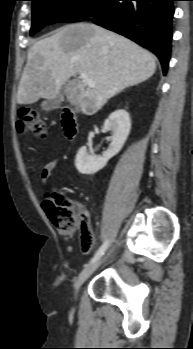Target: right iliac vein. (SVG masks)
<instances>
[{
  "label": "right iliac vein",
  "instance_id": "63e3f726",
  "mask_svg": "<svg viewBox=\"0 0 193 349\" xmlns=\"http://www.w3.org/2000/svg\"><path fill=\"white\" fill-rule=\"evenodd\" d=\"M102 259L86 266L82 272L79 274L77 281L75 283V293L78 292L81 285L95 272V270L99 267L101 264Z\"/></svg>",
  "mask_w": 193,
  "mask_h": 349
}]
</instances>
